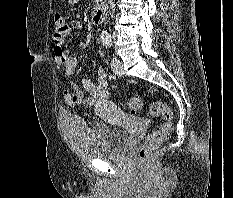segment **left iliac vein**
Segmentation results:
<instances>
[{"label":"left iliac vein","instance_id":"left-iliac-vein-1","mask_svg":"<svg viewBox=\"0 0 233 198\" xmlns=\"http://www.w3.org/2000/svg\"><path fill=\"white\" fill-rule=\"evenodd\" d=\"M111 68L113 73L117 76H122L124 74L123 64L117 57L113 58Z\"/></svg>","mask_w":233,"mask_h":198}]
</instances>
